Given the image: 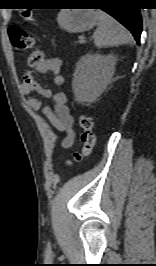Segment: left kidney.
Instances as JSON below:
<instances>
[{"label":"left kidney","mask_w":156,"mask_h":266,"mask_svg":"<svg viewBox=\"0 0 156 266\" xmlns=\"http://www.w3.org/2000/svg\"><path fill=\"white\" fill-rule=\"evenodd\" d=\"M116 57L113 55L86 54L78 61L72 88L79 103H93L112 80Z\"/></svg>","instance_id":"obj_1"}]
</instances>
